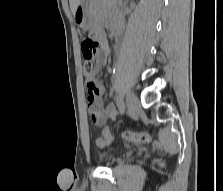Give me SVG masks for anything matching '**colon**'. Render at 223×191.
<instances>
[{
	"mask_svg": "<svg viewBox=\"0 0 223 191\" xmlns=\"http://www.w3.org/2000/svg\"><path fill=\"white\" fill-rule=\"evenodd\" d=\"M100 48L99 42L92 38H87L82 42L81 50L83 55L82 69L84 75L88 80L92 79L94 73L95 62ZM91 89L95 88L93 81L88 83ZM121 136L128 142L144 144L151 140V136L145 131H130L126 130L121 133ZM112 141V134L108 128L102 131L101 136L96 140V144L99 146L107 145Z\"/></svg>",
	"mask_w": 223,
	"mask_h": 191,
	"instance_id": "5ec220e1",
	"label": "colon"
}]
</instances>
